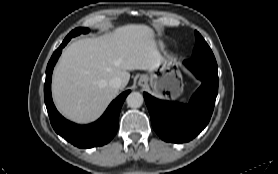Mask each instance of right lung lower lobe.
Masks as SVG:
<instances>
[{"label":"right lung lower lobe","mask_w":278,"mask_h":174,"mask_svg":"<svg viewBox=\"0 0 278 174\" xmlns=\"http://www.w3.org/2000/svg\"><path fill=\"white\" fill-rule=\"evenodd\" d=\"M66 38L53 53L46 69V81L44 85V99L50 122L54 130L65 140L80 148H91L108 143L116 134L118 119L122 104L130 90L119 95L107 108L103 116L96 122L81 126L63 118L56 110L51 97V77L53 67L62 52V48L68 43Z\"/></svg>","instance_id":"obj_1"}]
</instances>
